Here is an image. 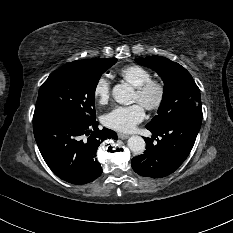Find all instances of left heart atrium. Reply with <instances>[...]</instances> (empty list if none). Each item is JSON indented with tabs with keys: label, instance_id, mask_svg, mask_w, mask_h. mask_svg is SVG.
Segmentation results:
<instances>
[{
	"label": "left heart atrium",
	"instance_id": "39dd6f15",
	"mask_svg": "<svg viewBox=\"0 0 233 233\" xmlns=\"http://www.w3.org/2000/svg\"><path fill=\"white\" fill-rule=\"evenodd\" d=\"M145 118V111L141 104L117 106L104 116V124L121 132L132 131Z\"/></svg>",
	"mask_w": 233,
	"mask_h": 233
}]
</instances>
